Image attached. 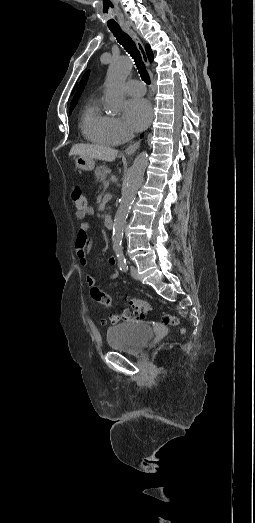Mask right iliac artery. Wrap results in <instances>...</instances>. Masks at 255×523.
I'll return each instance as SVG.
<instances>
[{"mask_svg":"<svg viewBox=\"0 0 255 523\" xmlns=\"http://www.w3.org/2000/svg\"><path fill=\"white\" fill-rule=\"evenodd\" d=\"M119 268L121 271H127L128 270V264L126 261H120L119 262Z\"/></svg>","mask_w":255,"mask_h":523,"instance_id":"right-iliac-artery-1","label":"right iliac artery"}]
</instances>
